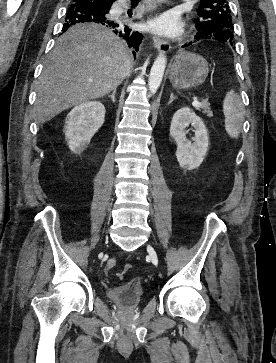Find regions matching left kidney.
I'll return each instance as SVG.
<instances>
[{"mask_svg":"<svg viewBox=\"0 0 276 363\" xmlns=\"http://www.w3.org/2000/svg\"><path fill=\"white\" fill-rule=\"evenodd\" d=\"M191 124L194 137L191 142L186 137L185 129ZM170 135L177 144L176 158L183 169L198 168L208 150V131L202 119L189 107H183L175 112L170 125Z\"/></svg>","mask_w":276,"mask_h":363,"instance_id":"left-kidney-1","label":"left kidney"}]
</instances>
